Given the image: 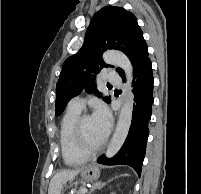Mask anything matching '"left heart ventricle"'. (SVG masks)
Returning a JSON list of instances; mask_svg holds the SVG:
<instances>
[{
	"label": "left heart ventricle",
	"instance_id": "1",
	"mask_svg": "<svg viewBox=\"0 0 201 194\" xmlns=\"http://www.w3.org/2000/svg\"><path fill=\"white\" fill-rule=\"evenodd\" d=\"M82 130L84 140L89 147H94L103 141L91 117L83 122Z\"/></svg>",
	"mask_w": 201,
	"mask_h": 194
}]
</instances>
